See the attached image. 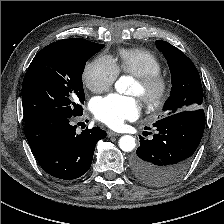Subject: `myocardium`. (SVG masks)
<instances>
[{
    "label": "myocardium",
    "mask_w": 224,
    "mask_h": 224,
    "mask_svg": "<svg viewBox=\"0 0 224 224\" xmlns=\"http://www.w3.org/2000/svg\"><path fill=\"white\" fill-rule=\"evenodd\" d=\"M140 86V97L147 108L157 109L169 98L172 90L170 78L158 72L143 77H137Z\"/></svg>",
    "instance_id": "obj_1"
}]
</instances>
